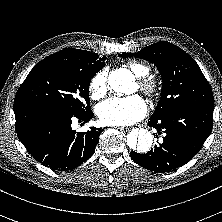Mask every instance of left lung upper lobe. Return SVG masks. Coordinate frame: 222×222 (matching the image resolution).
<instances>
[{
	"instance_id": "5c2ea615",
	"label": "left lung upper lobe",
	"mask_w": 222,
	"mask_h": 222,
	"mask_svg": "<svg viewBox=\"0 0 222 222\" xmlns=\"http://www.w3.org/2000/svg\"><path fill=\"white\" fill-rule=\"evenodd\" d=\"M122 58L137 57L155 63L162 76V91L151 118H160L186 106L214 107L211 87L195 60L176 45L161 41L137 53H123Z\"/></svg>"
}]
</instances>
